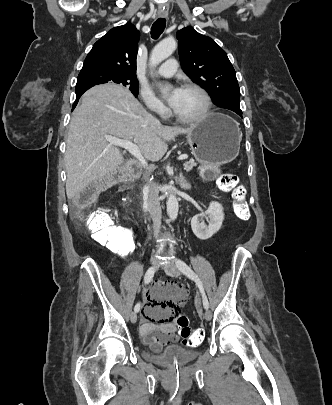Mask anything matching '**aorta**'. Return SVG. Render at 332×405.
<instances>
[{
    "label": "aorta",
    "mask_w": 332,
    "mask_h": 405,
    "mask_svg": "<svg viewBox=\"0 0 332 405\" xmlns=\"http://www.w3.org/2000/svg\"><path fill=\"white\" fill-rule=\"evenodd\" d=\"M177 43L173 37H167L160 41L152 50L149 64L156 67L163 60L167 59L175 51ZM178 201L174 194H169L167 199V214L171 220H176L178 216Z\"/></svg>",
    "instance_id": "762f6f07"
}]
</instances>
